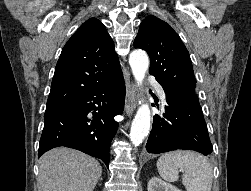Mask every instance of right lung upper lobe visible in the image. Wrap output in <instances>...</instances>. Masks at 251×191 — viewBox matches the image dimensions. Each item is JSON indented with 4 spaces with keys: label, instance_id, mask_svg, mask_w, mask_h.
I'll use <instances>...</instances> for the list:
<instances>
[{
    "label": "right lung upper lobe",
    "instance_id": "right-lung-upper-lobe-1",
    "mask_svg": "<svg viewBox=\"0 0 251 191\" xmlns=\"http://www.w3.org/2000/svg\"><path fill=\"white\" fill-rule=\"evenodd\" d=\"M121 73L110 35L98 19L91 18L78 28L61 52L46 110L64 106Z\"/></svg>",
    "mask_w": 251,
    "mask_h": 191
}]
</instances>
